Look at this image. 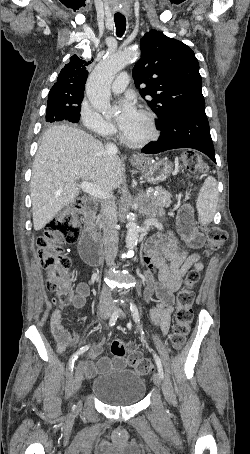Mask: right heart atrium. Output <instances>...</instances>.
Segmentation results:
<instances>
[{
    "label": "right heart atrium",
    "instance_id": "obj_1",
    "mask_svg": "<svg viewBox=\"0 0 250 454\" xmlns=\"http://www.w3.org/2000/svg\"><path fill=\"white\" fill-rule=\"evenodd\" d=\"M79 116L86 131L99 137H108L114 133L113 125L104 120L87 99H84L81 103Z\"/></svg>",
    "mask_w": 250,
    "mask_h": 454
}]
</instances>
